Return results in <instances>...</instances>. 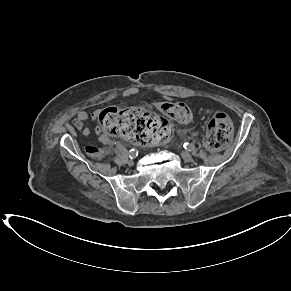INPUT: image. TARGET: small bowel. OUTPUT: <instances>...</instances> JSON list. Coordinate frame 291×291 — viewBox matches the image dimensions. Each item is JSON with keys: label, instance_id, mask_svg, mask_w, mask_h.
I'll list each match as a JSON object with an SVG mask.
<instances>
[{"label": "small bowel", "instance_id": "small-bowel-1", "mask_svg": "<svg viewBox=\"0 0 291 291\" xmlns=\"http://www.w3.org/2000/svg\"><path fill=\"white\" fill-rule=\"evenodd\" d=\"M89 119V114L84 111L80 110L77 112L75 119L73 120V126L80 130L83 136H89L91 131L89 128L84 127V123ZM96 133L98 134V140L100 143L104 145H110L112 143L111 138L104 133H101L99 128H96Z\"/></svg>", "mask_w": 291, "mask_h": 291}]
</instances>
